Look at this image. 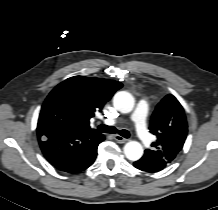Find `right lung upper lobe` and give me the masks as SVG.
I'll return each mask as SVG.
<instances>
[{
    "label": "right lung upper lobe",
    "instance_id": "right-lung-upper-lobe-1",
    "mask_svg": "<svg viewBox=\"0 0 218 210\" xmlns=\"http://www.w3.org/2000/svg\"><path fill=\"white\" fill-rule=\"evenodd\" d=\"M120 82L108 79L74 76L58 84L46 100L62 105L70 114L71 130L97 132L89 126V120L96 111H101Z\"/></svg>",
    "mask_w": 218,
    "mask_h": 210
}]
</instances>
